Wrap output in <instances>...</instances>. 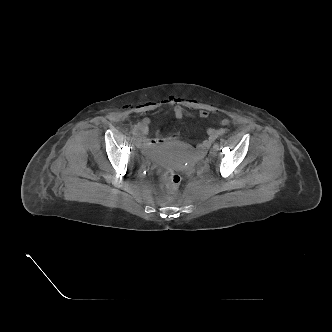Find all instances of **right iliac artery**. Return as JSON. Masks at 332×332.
Listing matches in <instances>:
<instances>
[{"instance_id": "82829eb1", "label": "right iliac artery", "mask_w": 332, "mask_h": 332, "mask_svg": "<svg viewBox=\"0 0 332 332\" xmlns=\"http://www.w3.org/2000/svg\"><path fill=\"white\" fill-rule=\"evenodd\" d=\"M131 133H132L133 135H137V134H139L137 128H132V129H131Z\"/></svg>"}]
</instances>
